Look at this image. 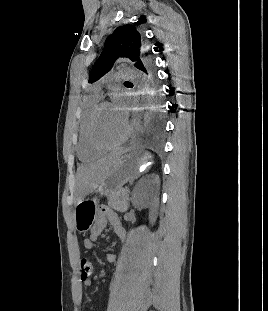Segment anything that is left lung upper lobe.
I'll return each mask as SVG.
<instances>
[{
  "label": "left lung upper lobe",
  "instance_id": "1",
  "mask_svg": "<svg viewBox=\"0 0 268 311\" xmlns=\"http://www.w3.org/2000/svg\"><path fill=\"white\" fill-rule=\"evenodd\" d=\"M141 34L130 25L118 27L105 42L103 52L92 67L89 83L99 80L111 70L119 57H127L137 68L143 59Z\"/></svg>",
  "mask_w": 268,
  "mask_h": 311
}]
</instances>
